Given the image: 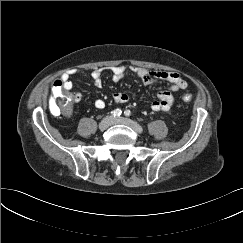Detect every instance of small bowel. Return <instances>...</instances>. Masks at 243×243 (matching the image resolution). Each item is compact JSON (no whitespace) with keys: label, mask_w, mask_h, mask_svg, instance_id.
<instances>
[{"label":"small bowel","mask_w":243,"mask_h":243,"mask_svg":"<svg viewBox=\"0 0 243 243\" xmlns=\"http://www.w3.org/2000/svg\"><path fill=\"white\" fill-rule=\"evenodd\" d=\"M112 75V80L118 82L123 79L130 71L137 76L143 84L151 85L160 81L170 83V87L167 90L158 92L157 98L149 103V107L154 111H167L171 108L174 102L175 94L187 87V82L183 76L176 72H151L140 67H132L127 69L125 66H112L109 68ZM74 72L64 73L59 80L65 90H71L73 83L71 81V75ZM90 78L96 87L102 85V69H96L90 73ZM74 102H79L82 98L80 93L73 95ZM113 99L117 104L127 103L130 99L129 95L122 92H117L113 95ZM94 106L97 109H103L105 107V101L103 99H97L94 102Z\"/></svg>","instance_id":"1"}]
</instances>
